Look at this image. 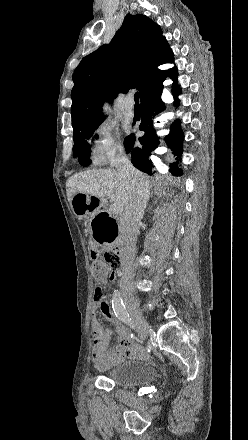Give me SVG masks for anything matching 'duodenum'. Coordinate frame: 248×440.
Listing matches in <instances>:
<instances>
[{"label": "duodenum", "instance_id": "obj_1", "mask_svg": "<svg viewBox=\"0 0 248 440\" xmlns=\"http://www.w3.org/2000/svg\"><path fill=\"white\" fill-rule=\"evenodd\" d=\"M114 252L119 255L122 256L123 255V247H122V243L121 240L119 239V241H116L115 246H113ZM121 272H117V274H120Z\"/></svg>", "mask_w": 248, "mask_h": 440}]
</instances>
